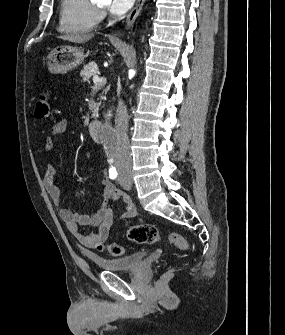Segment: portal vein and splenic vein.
<instances>
[{
  "instance_id": "18ae733b",
  "label": "portal vein and splenic vein",
  "mask_w": 285,
  "mask_h": 335,
  "mask_svg": "<svg viewBox=\"0 0 285 335\" xmlns=\"http://www.w3.org/2000/svg\"><path fill=\"white\" fill-rule=\"evenodd\" d=\"M93 82L94 84H104L105 82V78H99L98 74H96V76H93Z\"/></svg>"
}]
</instances>
